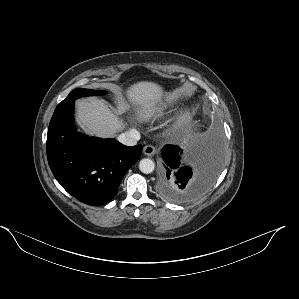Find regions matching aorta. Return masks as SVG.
I'll return each instance as SVG.
<instances>
[{"label":"aorta","instance_id":"aorta-1","mask_svg":"<svg viewBox=\"0 0 299 299\" xmlns=\"http://www.w3.org/2000/svg\"><path fill=\"white\" fill-rule=\"evenodd\" d=\"M139 169L144 174H150L155 169V163L149 158H144L139 163Z\"/></svg>","mask_w":299,"mask_h":299}]
</instances>
